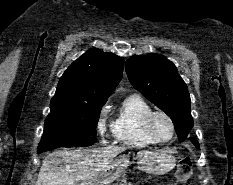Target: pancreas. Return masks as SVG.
<instances>
[{
    "label": "pancreas",
    "mask_w": 233,
    "mask_h": 185,
    "mask_svg": "<svg viewBox=\"0 0 233 185\" xmlns=\"http://www.w3.org/2000/svg\"><path fill=\"white\" fill-rule=\"evenodd\" d=\"M121 182H122V183H120V184H115V185H132L131 183H126V179H123Z\"/></svg>",
    "instance_id": "pancreas-1"
}]
</instances>
